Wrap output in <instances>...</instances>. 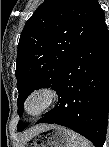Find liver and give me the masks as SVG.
<instances>
[{
  "label": "liver",
  "mask_w": 109,
  "mask_h": 147,
  "mask_svg": "<svg viewBox=\"0 0 109 147\" xmlns=\"http://www.w3.org/2000/svg\"><path fill=\"white\" fill-rule=\"evenodd\" d=\"M47 126H48L47 124H40V125H36L30 129L26 130L22 136L23 140L28 139L29 137H31L32 135L36 134L37 132L43 130Z\"/></svg>",
  "instance_id": "1"
}]
</instances>
